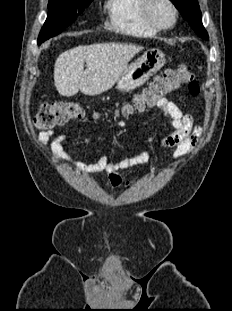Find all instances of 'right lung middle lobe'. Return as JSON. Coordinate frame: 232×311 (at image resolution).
I'll return each instance as SVG.
<instances>
[{
    "mask_svg": "<svg viewBox=\"0 0 232 311\" xmlns=\"http://www.w3.org/2000/svg\"><path fill=\"white\" fill-rule=\"evenodd\" d=\"M93 0H49L48 16L42 27L38 45L61 33L76 20Z\"/></svg>",
    "mask_w": 232,
    "mask_h": 311,
    "instance_id": "1",
    "label": "right lung middle lobe"
}]
</instances>
